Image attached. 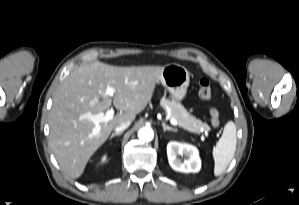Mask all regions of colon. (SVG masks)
<instances>
[{"instance_id":"colon-1","label":"colon","mask_w":299,"mask_h":205,"mask_svg":"<svg viewBox=\"0 0 299 205\" xmlns=\"http://www.w3.org/2000/svg\"><path fill=\"white\" fill-rule=\"evenodd\" d=\"M198 87H199V96L204 99L208 100L212 97V88L210 81L207 78H201L198 81ZM220 119L219 114L217 110L211 111V124L214 128H217L219 126Z\"/></svg>"}]
</instances>
